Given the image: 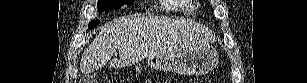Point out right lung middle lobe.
<instances>
[{
	"label": "right lung middle lobe",
	"instance_id": "1",
	"mask_svg": "<svg viewBox=\"0 0 307 83\" xmlns=\"http://www.w3.org/2000/svg\"><path fill=\"white\" fill-rule=\"evenodd\" d=\"M133 3H134V0H99L98 10L104 11V10H110V9H119L124 4L132 5ZM98 23H99V20L91 21L89 24V28H92Z\"/></svg>",
	"mask_w": 307,
	"mask_h": 83
}]
</instances>
